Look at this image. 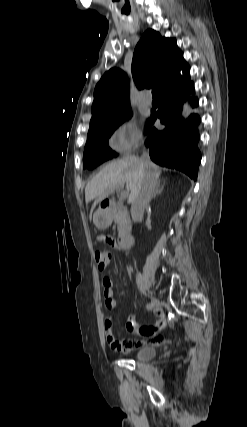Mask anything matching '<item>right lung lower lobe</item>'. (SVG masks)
<instances>
[{
    "instance_id": "right-lung-lower-lobe-1",
    "label": "right lung lower lobe",
    "mask_w": 247,
    "mask_h": 427,
    "mask_svg": "<svg viewBox=\"0 0 247 427\" xmlns=\"http://www.w3.org/2000/svg\"><path fill=\"white\" fill-rule=\"evenodd\" d=\"M184 73L185 77L179 75L159 93L160 107L157 113H152L147 132L157 118L165 125V129L158 131L153 128L146 145L155 163L181 170L196 180L201 161L197 148V125L200 119L198 115H191L185 121L180 115L187 92L194 91V85L189 80V68ZM190 102L193 106L198 105L196 98Z\"/></svg>"
}]
</instances>
